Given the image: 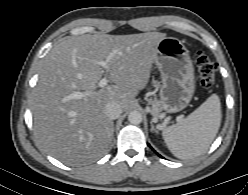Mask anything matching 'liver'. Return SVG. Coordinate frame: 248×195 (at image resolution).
I'll list each match as a JSON object with an SVG mask.
<instances>
[{
    "label": "liver",
    "mask_w": 248,
    "mask_h": 195,
    "mask_svg": "<svg viewBox=\"0 0 248 195\" xmlns=\"http://www.w3.org/2000/svg\"><path fill=\"white\" fill-rule=\"evenodd\" d=\"M164 38L160 32L84 34L54 45L42 61L31 104L34 133L43 148L67 165L103 156L114 132L105 106L116 102L129 109L149 81ZM110 55L105 69L99 62ZM104 73L114 84L98 89Z\"/></svg>",
    "instance_id": "6515ba94"
}]
</instances>
